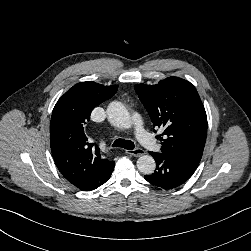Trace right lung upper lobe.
Here are the masks:
<instances>
[{
  "label": "right lung upper lobe",
  "mask_w": 251,
  "mask_h": 251,
  "mask_svg": "<svg viewBox=\"0 0 251 251\" xmlns=\"http://www.w3.org/2000/svg\"><path fill=\"white\" fill-rule=\"evenodd\" d=\"M117 89V85L80 82L71 87L53 109L51 151L59 171L77 188L111 163L101 157L99 148L91 143L84 128L92 110L110 99Z\"/></svg>",
  "instance_id": "right-lung-upper-lobe-1"
}]
</instances>
